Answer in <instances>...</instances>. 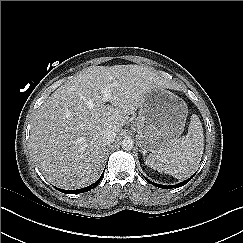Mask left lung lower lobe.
Returning a JSON list of instances; mask_svg holds the SVG:
<instances>
[{
    "mask_svg": "<svg viewBox=\"0 0 243 243\" xmlns=\"http://www.w3.org/2000/svg\"><path fill=\"white\" fill-rule=\"evenodd\" d=\"M194 175H195V174H194ZM194 175H193V176H194ZM193 176H192V177H193ZM192 177H190L189 179H187V180H185V181H183V182H181V183H179V184H177V185H171V186L160 185V184L151 182V181H150L149 179H147V178H145V179H146V181H147L148 183H150V184H152V185H154V186H156V187H158V188L168 189V188H178V187H181V186L185 185L186 183H188V182L192 179Z\"/></svg>",
    "mask_w": 243,
    "mask_h": 243,
    "instance_id": "1",
    "label": "left lung lower lobe"
}]
</instances>
